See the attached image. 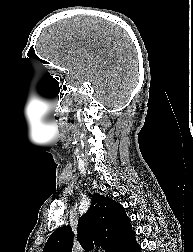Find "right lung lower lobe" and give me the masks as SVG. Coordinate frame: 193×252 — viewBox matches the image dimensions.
Segmentation results:
<instances>
[{"mask_svg":"<svg viewBox=\"0 0 193 252\" xmlns=\"http://www.w3.org/2000/svg\"><path fill=\"white\" fill-rule=\"evenodd\" d=\"M141 248L136 242L135 232L116 250V252H140Z\"/></svg>","mask_w":193,"mask_h":252,"instance_id":"right-lung-lower-lobe-1","label":"right lung lower lobe"}]
</instances>
